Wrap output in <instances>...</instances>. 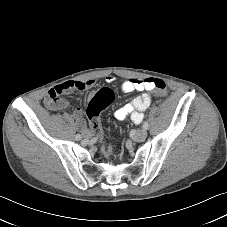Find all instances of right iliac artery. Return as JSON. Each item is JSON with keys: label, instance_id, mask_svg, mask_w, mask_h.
I'll return each instance as SVG.
<instances>
[{"label": "right iliac artery", "instance_id": "1", "mask_svg": "<svg viewBox=\"0 0 227 227\" xmlns=\"http://www.w3.org/2000/svg\"><path fill=\"white\" fill-rule=\"evenodd\" d=\"M81 138H82V137H81L80 134H77V135L75 136V139H76V140H81Z\"/></svg>", "mask_w": 227, "mask_h": 227}]
</instances>
